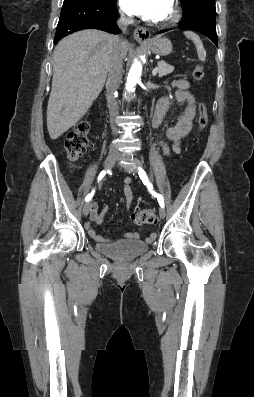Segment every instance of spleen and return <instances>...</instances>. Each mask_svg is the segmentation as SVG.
Masks as SVG:
<instances>
[{"label": "spleen", "mask_w": 254, "mask_h": 397, "mask_svg": "<svg viewBox=\"0 0 254 397\" xmlns=\"http://www.w3.org/2000/svg\"><path fill=\"white\" fill-rule=\"evenodd\" d=\"M184 35L195 44L199 59L204 61L206 59V51L200 37L192 31H185Z\"/></svg>", "instance_id": "1"}]
</instances>
